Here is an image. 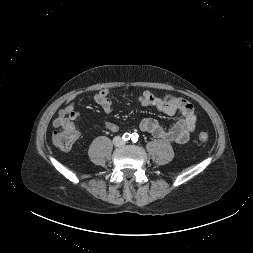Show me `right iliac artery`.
<instances>
[{
    "label": "right iliac artery",
    "mask_w": 253,
    "mask_h": 253,
    "mask_svg": "<svg viewBox=\"0 0 253 253\" xmlns=\"http://www.w3.org/2000/svg\"><path fill=\"white\" fill-rule=\"evenodd\" d=\"M131 138V135L129 133H125L122 137L124 141H128Z\"/></svg>",
    "instance_id": "right-iliac-artery-1"
}]
</instances>
